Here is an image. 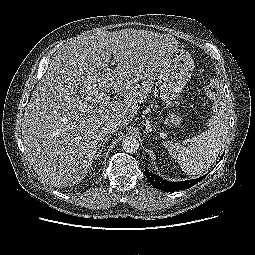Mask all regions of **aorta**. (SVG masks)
Segmentation results:
<instances>
[{
    "label": "aorta",
    "instance_id": "aorta-1",
    "mask_svg": "<svg viewBox=\"0 0 255 255\" xmlns=\"http://www.w3.org/2000/svg\"><path fill=\"white\" fill-rule=\"evenodd\" d=\"M122 148L127 153H134L139 148V142L135 137L127 136L122 141Z\"/></svg>",
    "mask_w": 255,
    "mask_h": 255
}]
</instances>
